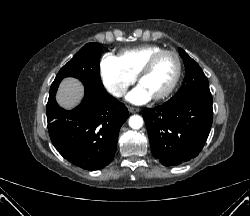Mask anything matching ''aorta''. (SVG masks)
Masks as SVG:
<instances>
[{
    "mask_svg": "<svg viewBox=\"0 0 250 216\" xmlns=\"http://www.w3.org/2000/svg\"><path fill=\"white\" fill-rule=\"evenodd\" d=\"M129 126L132 129H140L143 126V118L139 115H133L129 118Z\"/></svg>",
    "mask_w": 250,
    "mask_h": 216,
    "instance_id": "aorta-1",
    "label": "aorta"
}]
</instances>
